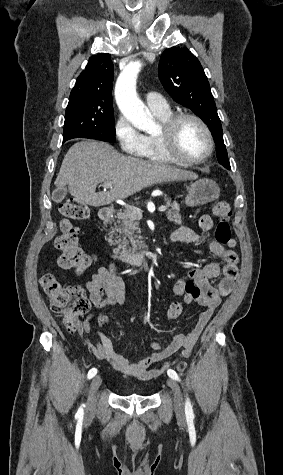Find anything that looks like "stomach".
I'll use <instances>...</instances> for the list:
<instances>
[{
  "instance_id": "stomach-1",
  "label": "stomach",
  "mask_w": 283,
  "mask_h": 475,
  "mask_svg": "<svg viewBox=\"0 0 283 475\" xmlns=\"http://www.w3.org/2000/svg\"><path fill=\"white\" fill-rule=\"evenodd\" d=\"M220 196L219 186L213 180H198L191 184V188L185 198L186 206H203L208 202L217 200Z\"/></svg>"
}]
</instances>
